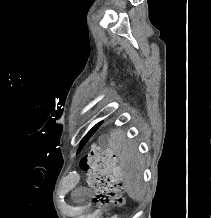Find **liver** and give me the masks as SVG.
Returning a JSON list of instances; mask_svg holds the SVG:
<instances>
[{
    "instance_id": "liver-1",
    "label": "liver",
    "mask_w": 211,
    "mask_h": 218,
    "mask_svg": "<svg viewBox=\"0 0 211 218\" xmlns=\"http://www.w3.org/2000/svg\"><path fill=\"white\" fill-rule=\"evenodd\" d=\"M110 148L115 150L120 160L121 180L125 192L132 200H141L143 196L141 178L144 162L138 156L135 144L128 142L125 132L118 128V130L110 132Z\"/></svg>"
}]
</instances>
